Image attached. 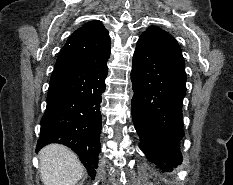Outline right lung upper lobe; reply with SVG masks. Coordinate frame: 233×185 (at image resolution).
I'll list each match as a JSON object with an SVG mask.
<instances>
[{
  "mask_svg": "<svg viewBox=\"0 0 233 185\" xmlns=\"http://www.w3.org/2000/svg\"><path fill=\"white\" fill-rule=\"evenodd\" d=\"M108 30L100 21H92L77 29L60 51L55 68L99 66L110 57Z\"/></svg>",
  "mask_w": 233,
  "mask_h": 185,
  "instance_id": "1",
  "label": "right lung upper lobe"
}]
</instances>
